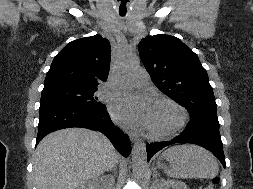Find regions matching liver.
Instances as JSON below:
<instances>
[{"instance_id": "liver-1", "label": "liver", "mask_w": 253, "mask_h": 189, "mask_svg": "<svg viewBox=\"0 0 253 189\" xmlns=\"http://www.w3.org/2000/svg\"><path fill=\"white\" fill-rule=\"evenodd\" d=\"M119 155L100 132L68 128L38 144L33 174L37 189H76L118 163Z\"/></svg>"}]
</instances>
